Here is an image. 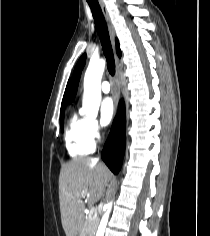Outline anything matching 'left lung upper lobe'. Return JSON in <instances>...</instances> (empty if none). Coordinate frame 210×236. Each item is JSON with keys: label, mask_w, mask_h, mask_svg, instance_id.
I'll return each instance as SVG.
<instances>
[{"label": "left lung upper lobe", "mask_w": 210, "mask_h": 236, "mask_svg": "<svg viewBox=\"0 0 210 236\" xmlns=\"http://www.w3.org/2000/svg\"><path fill=\"white\" fill-rule=\"evenodd\" d=\"M85 62H86V54H83L75 67V71H74L73 78H72V84H71V86L69 85V88H70V94H69V99H68L69 102H72L75 95H76L78 82L80 79L82 69L85 65ZM69 88H68V91H69Z\"/></svg>", "instance_id": "5c2ea615"}]
</instances>
